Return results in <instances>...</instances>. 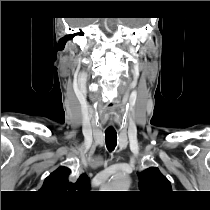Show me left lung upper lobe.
Here are the masks:
<instances>
[{"label":"left lung upper lobe","instance_id":"5c2ea615","mask_svg":"<svg viewBox=\"0 0 210 210\" xmlns=\"http://www.w3.org/2000/svg\"><path fill=\"white\" fill-rule=\"evenodd\" d=\"M139 187L143 193H163L171 191L169 180L156 167L138 173Z\"/></svg>","mask_w":210,"mask_h":210}]
</instances>
